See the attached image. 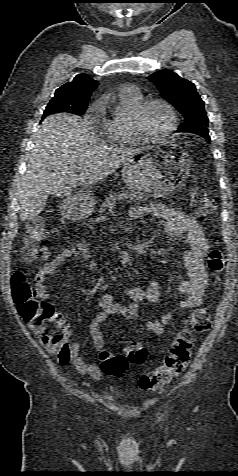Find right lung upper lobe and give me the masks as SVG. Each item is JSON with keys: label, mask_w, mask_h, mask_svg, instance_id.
Wrapping results in <instances>:
<instances>
[{"label": "right lung upper lobe", "mask_w": 238, "mask_h": 476, "mask_svg": "<svg viewBox=\"0 0 238 476\" xmlns=\"http://www.w3.org/2000/svg\"><path fill=\"white\" fill-rule=\"evenodd\" d=\"M97 88V81L85 73L77 75L72 82L66 83L55 92V96L70 98L75 104H88L92 92Z\"/></svg>", "instance_id": "cb5924a9"}]
</instances>
